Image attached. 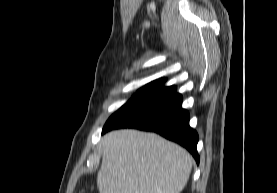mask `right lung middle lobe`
<instances>
[{"label": "right lung middle lobe", "instance_id": "obj_1", "mask_svg": "<svg viewBox=\"0 0 277 193\" xmlns=\"http://www.w3.org/2000/svg\"><path fill=\"white\" fill-rule=\"evenodd\" d=\"M146 94L138 92L137 94H135L130 100L127 101L126 104H124L116 113H114L109 119H111L114 115H116L117 113L121 112L122 110H124L125 108L131 106L132 104L136 103L137 101H139L141 98H143ZM108 119V120H109Z\"/></svg>", "mask_w": 277, "mask_h": 193}]
</instances>
